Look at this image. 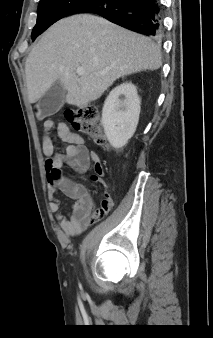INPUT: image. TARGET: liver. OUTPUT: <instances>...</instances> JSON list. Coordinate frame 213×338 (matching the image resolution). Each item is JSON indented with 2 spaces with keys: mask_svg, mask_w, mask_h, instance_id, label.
<instances>
[{
  "mask_svg": "<svg viewBox=\"0 0 213 338\" xmlns=\"http://www.w3.org/2000/svg\"><path fill=\"white\" fill-rule=\"evenodd\" d=\"M162 65L161 50L150 38L98 16L82 14L52 25L29 53L25 75L30 103L59 81L66 102L84 107L117 79ZM82 67L79 76L76 69Z\"/></svg>",
  "mask_w": 213,
  "mask_h": 338,
  "instance_id": "obj_1",
  "label": "liver"
}]
</instances>
